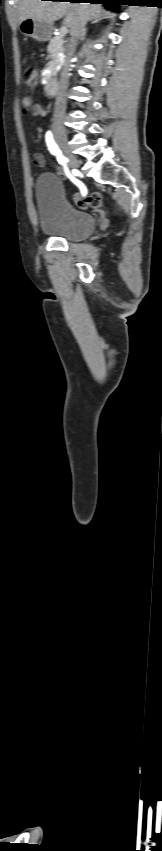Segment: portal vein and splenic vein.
<instances>
[{
  "mask_svg": "<svg viewBox=\"0 0 162 851\" xmlns=\"http://www.w3.org/2000/svg\"><path fill=\"white\" fill-rule=\"evenodd\" d=\"M67 32H68L67 27H66V26H63V27L61 28V34H62V35H65Z\"/></svg>",
  "mask_w": 162,
  "mask_h": 851,
  "instance_id": "1",
  "label": "portal vein and splenic vein"
}]
</instances>
